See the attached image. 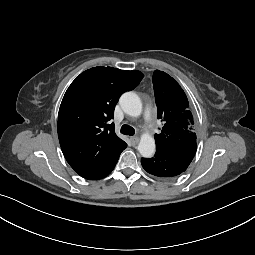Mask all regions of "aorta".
I'll return each instance as SVG.
<instances>
[{"instance_id":"aorta-1","label":"aorta","mask_w":255,"mask_h":255,"mask_svg":"<svg viewBox=\"0 0 255 255\" xmlns=\"http://www.w3.org/2000/svg\"><path fill=\"white\" fill-rule=\"evenodd\" d=\"M122 110L132 116L138 117L142 112V103L134 92H125L119 100ZM139 153L145 158H151L155 153V140L149 134H143L138 144Z\"/></svg>"}]
</instances>
